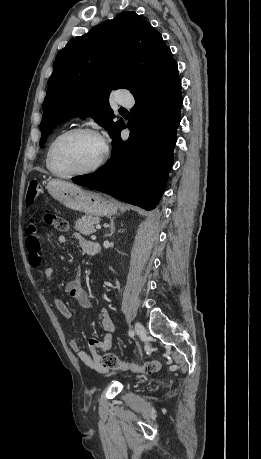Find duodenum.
Here are the masks:
<instances>
[{
	"instance_id": "duodenum-1",
	"label": "duodenum",
	"mask_w": 261,
	"mask_h": 459,
	"mask_svg": "<svg viewBox=\"0 0 261 459\" xmlns=\"http://www.w3.org/2000/svg\"><path fill=\"white\" fill-rule=\"evenodd\" d=\"M101 252V247L98 243H94L92 244V255H99Z\"/></svg>"
}]
</instances>
